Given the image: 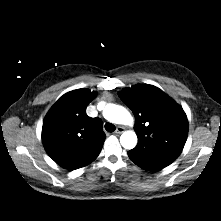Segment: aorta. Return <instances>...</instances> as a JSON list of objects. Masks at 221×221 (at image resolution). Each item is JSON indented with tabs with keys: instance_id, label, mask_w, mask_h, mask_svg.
<instances>
[{
	"instance_id": "obj_1",
	"label": "aorta",
	"mask_w": 221,
	"mask_h": 221,
	"mask_svg": "<svg viewBox=\"0 0 221 221\" xmlns=\"http://www.w3.org/2000/svg\"><path fill=\"white\" fill-rule=\"evenodd\" d=\"M103 116L106 120L116 124L131 125L133 118L129 111L123 106L106 104L103 109ZM120 143L125 149H133L137 144V135L134 131H125L120 136Z\"/></svg>"
}]
</instances>
